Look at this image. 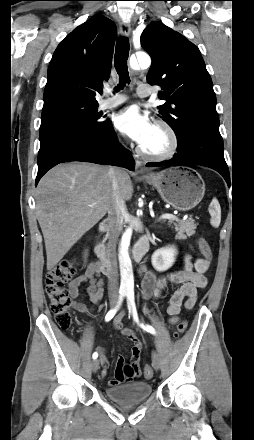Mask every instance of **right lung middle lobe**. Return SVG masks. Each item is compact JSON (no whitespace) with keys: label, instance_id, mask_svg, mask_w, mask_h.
Masks as SVG:
<instances>
[{"label":"right lung middle lobe","instance_id":"right-lung-middle-lobe-1","mask_svg":"<svg viewBox=\"0 0 254 440\" xmlns=\"http://www.w3.org/2000/svg\"><path fill=\"white\" fill-rule=\"evenodd\" d=\"M97 101L63 96L44 103L38 158L54 144L84 134H96L104 126Z\"/></svg>","mask_w":254,"mask_h":440}]
</instances>
